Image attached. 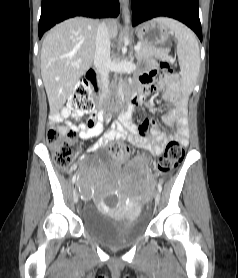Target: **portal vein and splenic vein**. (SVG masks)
Here are the masks:
<instances>
[{
    "label": "portal vein and splenic vein",
    "instance_id": "1",
    "mask_svg": "<svg viewBox=\"0 0 238 278\" xmlns=\"http://www.w3.org/2000/svg\"><path fill=\"white\" fill-rule=\"evenodd\" d=\"M134 49H135V51H139L140 50V45H136Z\"/></svg>",
    "mask_w": 238,
    "mask_h": 278
}]
</instances>
